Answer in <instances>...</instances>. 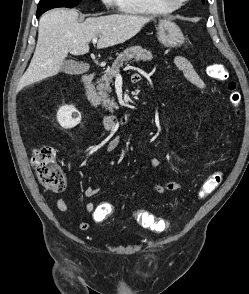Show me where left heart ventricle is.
Returning a JSON list of instances; mask_svg holds the SVG:
<instances>
[{
    "label": "left heart ventricle",
    "mask_w": 249,
    "mask_h": 294,
    "mask_svg": "<svg viewBox=\"0 0 249 294\" xmlns=\"http://www.w3.org/2000/svg\"><path fill=\"white\" fill-rule=\"evenodd\" d=\"M174 1L176 2V1H182V0H174Z\"/></svg>",
    "instance_id": "1"
}]
</instances>
